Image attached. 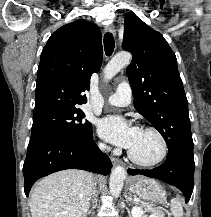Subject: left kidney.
<instances>
[{
	"label": "left kidney",
	"instance_id": "obj_1",
	"mask_svg": "<svg viewBox=\"0 0 211 217\" xmlns=\"http://www.w3.org/2000/svg\"><path fill=\"white\" fill-rule=\"evenodd\" d=\"M131 214H132V217H146L145 215H143V210L137 206L132 208ZM150 217H154V216L151 215Z\"/></svg>",
	"mask_w": 211,
	"mask_h": 217
}]
</instances>
